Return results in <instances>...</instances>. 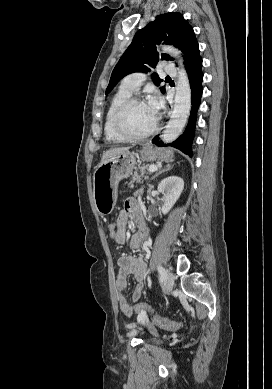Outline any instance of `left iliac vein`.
<instances>
[{"label":"left iliac vein","instance_id":"obj_1","mask_svg":"<svg viewBox=\"0 0 272 389\" xmlns=\"http://www.w3.org/2000/svg\"><path fill=\"white\" fill-rule=\"evenodd\" d=\"M174 281H175V278H174L173 273L167 272L166 273V279H165V284H166L167 291H171L173 289Z\"/></svg>","mask_w":272,"mask_h":389}]
</instances>
